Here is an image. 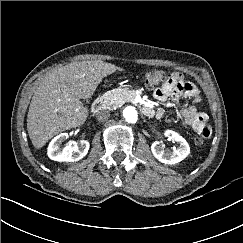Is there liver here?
Instances as JSON below:
<instances>
[{
	"mask_svg": "<svg viewBox=\"0 0 243 243\" xmlns=\"http://www.w3.org/2000/svg\"><path fill=\"white\" fill-rule=\"evenodd\" d=\"M100 60L72 62L42 78L32 97L27 130L35 148H42L53 136L82 125L88 108L80 99L90 98L102 79L118 70Z\"/></svg>",
	"mask_w": 243,
	"mask_h": 243,
	"instance_id": "6515ba94",
	"label": "liver"
}]
</instances>
